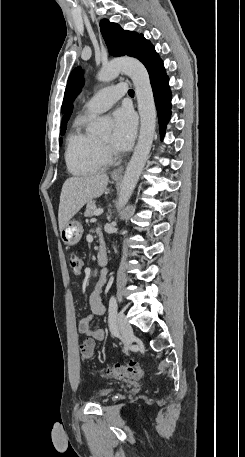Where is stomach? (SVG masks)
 <instances>
[{"label": "stomach", "instance_id": "1", "mask_svg": "<svg viewBox=\"0 0 245 457\" xmlns=\"http://www.w3.org/2000/svg\"><path fill=\"white\" fill-rule=\"evenodd\" d=\"M118 180V178H114ZM83 233V226L78 222V220H68L65 226H63L62 231H60V237L67 247H72V245H77L79 243Z\"/></svg>", "mask_w": 245, "mask_h": 457}]
</instances>
